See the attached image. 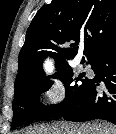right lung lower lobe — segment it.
<instances>
[{"label":"right lung lower lobe","mask_w":116,"mask_h":134,"mask_svg":"<svg viewBox=\"0 0 116 134\" xmlns=\"http://www.w3.org/2000/svg\"><path fill=\"white\" fill-rule=\"evenodd\" d=\"M90 64L96 75L79 99L51 118L76 122L102 119L116 125V43L95 54Z\"/></svg>","instance_id":"obj_1"}]
</instances>
